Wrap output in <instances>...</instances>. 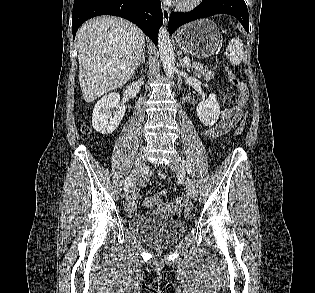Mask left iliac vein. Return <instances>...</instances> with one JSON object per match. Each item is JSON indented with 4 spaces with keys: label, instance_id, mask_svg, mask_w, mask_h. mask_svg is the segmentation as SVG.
<instances>
[{
    "label": "left iliac vein",
    "instance_id": "4c4485c4",
    "mask_svg": "<svg viewBox=\"0 0 315 293\" xmlns=\"http://www.w3.org/2000/svg\"><path fill=\"white\" fill-rule=\"evenodd\" d=\"M170 168L175 172V173H181L183 170V162L180 158L179 155H175L173 160L170 162ZM185 185H186V190L187 194L190 198L193 200H196L198 197V192L196 189V186L194 182L190 178H186L185 180Z\"/></svg>",
    "mask_w": 315,
    "mask_h": 293
}]
</instances>
